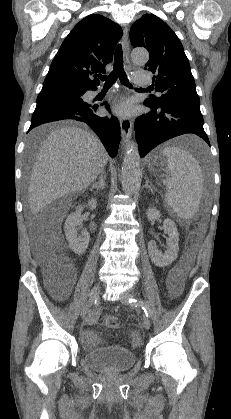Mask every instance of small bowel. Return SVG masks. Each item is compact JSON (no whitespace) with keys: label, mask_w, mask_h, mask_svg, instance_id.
<instances>
[{"label":"small bowel","mask_w":231,"mask_h":419,"mask_svg":"<svg viewBox=\"0 0 231 419\" xmlns=\"http://www.w3.org/2000/svg\"><path fill=\"white\" fill-rule=\"evenodd\" d=\"M74 278H75V276H74V273H73L71 278L67 282L66 287L61 290V292H60L61 297L67 292V289L73 283ZM169 289H170V297H171V299H174L179 292V288H178L177 283L173 282V281L170 282ZM100 315H101L100 310H94L91 314H89V316L84 321V326L82 328L81 335H82L83 345L85 346L86 349L93 348V346L99 340L98 335L96 334V332L94 330L89 329V327L93 326L97 323Z\"/></svg>","instance_id":"1"}]
</instances>
